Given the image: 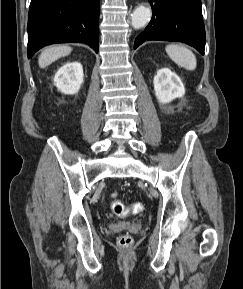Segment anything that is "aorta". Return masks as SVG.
Returning a JSON list of instances; mask_svg holds the SVG:
<instances>
[{"mask_svg":"<svg viewBox=\"0 0 243 289\" xmlns=\"http://www.w3.org/2000/svg\"><path fill=\"white\" fill-rule=\"evenodd\" d=\"M151 9L148 6H138L131 15V23L134 29L144 27L151 19Z\"/></svg>","mask_w":243,"mask_h":289,"instance_id":"762f6f07","label":"aorta"}]
</instances>
